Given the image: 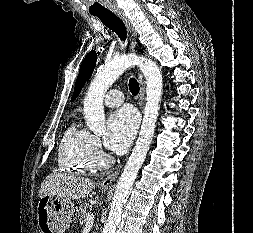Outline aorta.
I'll use <instances>...</instances> for the list:
<instances>
[{"label": "aorta", "instance_id": "1", "mask_svg": "<svg viewBox=\"0 0 253 233\" xmlns=\"http://www.w3.org/2000/svg\"><path fill=\"white\" fill-rule=\"evenodd\" d=\"M139 66L146 79V104L143 122L135 147L117 182L108 219L103 233H115L120 223L122 207L125 204L147 152L149 151L159 112V101L163 91V80L159 67L143 56L124 55L98 69L84 99V117L88 128L96 133L105 132L103 97L107 89L129 67Z\"/></svg>", "mask_w": 253, "mask_h": 233}]
</instances>
